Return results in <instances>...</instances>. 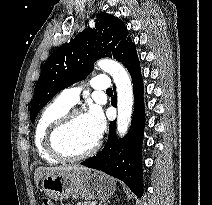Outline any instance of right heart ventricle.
Instances as JSON below:
<instances>
[{
  "label": "right heart ventricle",
  "mask_w": 212,
  "mask_h": 205,
  "mask_svg": "<svg viewBox=\"0 0 212 205\" xmlns=\"http://www.w3.org/2000/svg\"><path fill=\"white\" fill-rule=\"evenodd\" d=\"M70 110V107L63 104L58 99L50 103L41 113L34 131V146L39 156L48 163H57L59 160L52 156L45 143V138L50 126L64 113Z\"/></svg>",
  "instance_id": "right-heart-ventricle-1"
}]
</instances>
